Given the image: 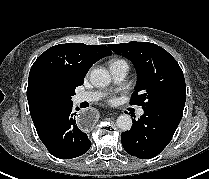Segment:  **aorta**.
<instances>
[{
    "label": "aorta",
    "mask_w": 209,
    "mask_h": 179,
    "mask_svg": "<svg viewBox=\"0 0 209 179\" xmlns=\"http://www.w3.org/2000/svg\"><path fill=\"white\" fill-rule=\"evenodd\" d=\"M90 81L94 86L104 87L110 84L111 76L108 70L104 68H97L91 71ZM117 126L122 131L130 130L132 127V119L128 114H122L117 118Z\"/></svg>",
    "instance_id": "obj_1"
}]
</instances>
